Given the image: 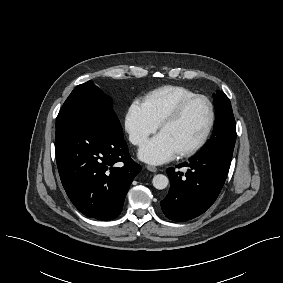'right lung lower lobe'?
<instances>
[{
  "label": "right lung lower lobe",
  "instance_id": "obj_1",
  "mask_svg": "<svg viewBox=\"0 0 283 283\" xmlns=\"http://www.w3.org/2000/svg\"><path fill=\"white\" fill-rule=\"evenodd\" d=\"M55 153L74 206L88 217L116 218L141 166L131 159L115 117L84 116L56 128Z\"/></svg>",
  "mask_w": 283,
  "mask_h": 283
}]
</instances>
